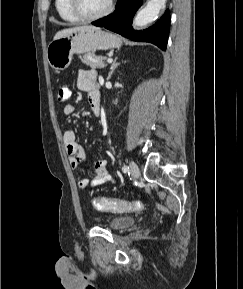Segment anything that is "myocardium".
<instances>
[{
    "label": "myocardium",
    "mask_w": 243,
    "mask_h": 289,
    "mask_svg": "<svg viewBox=\"0 0 243 289\" xmlns=\"http://www.w3.org/2000/svg\"><path fill=\"white\" fill-rule=\"evenodd\" d=\"M71 12L79 19L84 21H94L108 16L114 9V0H109L107 7L100 13L95 15H87L83 13L79 7V0H69Z\"/></svg>",
    "instance_id": "1"
}]
</instances>
